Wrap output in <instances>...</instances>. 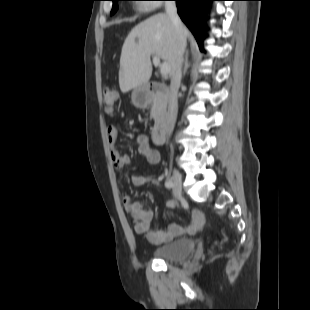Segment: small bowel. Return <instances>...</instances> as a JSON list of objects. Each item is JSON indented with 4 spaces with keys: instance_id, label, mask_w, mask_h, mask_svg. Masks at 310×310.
Returning a JSON list of instances; mask_svg holds the SVG:
<instances>
[{
    "instance_id": "small-bowel-1",
    "label": "small bowel",
    "mask_w": 310,
    "mask_h": 310,
    "mask_svg": "<svg viewBox=\"0 0 310 310\" xmlns=\"http://www.w3.org/2000/svg\"><path fill=\"white\" fill-rule=\"evenodd\" d=\"M109 143L112 146L110 158L113 168L116 171H121L125 166L131 164L129 156L122 154L114 147L118 139V130L115 126H109L107 129ZM138 151L143 155L150 164H158L161 161L160 153L152 148L150 141L146 135H138L136 138ZM132 183L135 186H142L146 183L159 185L160 179L157 176H143L135 174L132 177ZM122 202L133 219V228L137 234L144 235L152 244H163L170 242L178 236L187 233L194 234L201 230L205 225V215L200 210H195L192 213L191 221L187 224L171 223L166 229H153L151 227L153 212L143 203L133 201L130 194L122 195ZM174 200H169L166 203L167 208L175 206Z\"/></svg>"
}]
</instances>
